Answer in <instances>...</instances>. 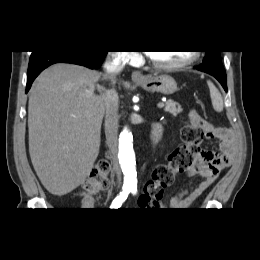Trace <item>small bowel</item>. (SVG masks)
Listing matches in <instances>:
<instances>
[{"label": "small bowel", "mask_w": 260, "mask_h": 260, "mask_svg": "<svg viewBox=\"0 0 260 260\" xmlns=\"http://www.w3.org/2000/svg\"><path fill=\"white\" fill-rule=\"evenodd\" d=\"M190 119L201 129L205 139L219 141V151L200 149L197 153L192 166L187 170V175L200 176L201 179L198 183L182 190L170 199L169 206L177 210L191 207L202 193L215 182L220 172L232 164L237 152V138L232 129L215 126L194 111L190 113ZM139 206L148 208L153 204L144 195H141Z\"/></svg>", "instance_id": "small-bowel-1"}]
</instances>
